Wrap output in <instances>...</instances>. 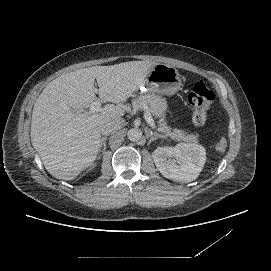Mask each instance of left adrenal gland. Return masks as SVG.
Masks as SVG:
<instances>
[{"label": "left adrenal gland", "mask_w": 271, "mask_h": 271, "mask_svg": "<svg viewBox=\"0 0 271 271\" xmlns=\"http://www.w3.org/2000/svg\"><path fill=\"white\" fill-rule=\"evenodd\" d=\"M149 137L151 141L157 140L158 138H164L161 134L158 133H150Z\"/></svg>", "instance_id": "1"}]
</instances>
